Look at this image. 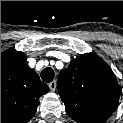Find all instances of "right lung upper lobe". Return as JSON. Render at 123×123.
<instances>
[{"label":"right lung upper lobe","mask_w":123,"mask_h":123,"mask_svg":"<svg viewBox=\"0 0 123 123\" xmlns=\"http://www.w3.org/2000/svg\"><path fill=\"white\" fill-rule=\"evenodd\" d=\"M48 90L23 52L11 48L1 53V123H27Z\"/></svg>","instance_id":"1"}]
</instances>
